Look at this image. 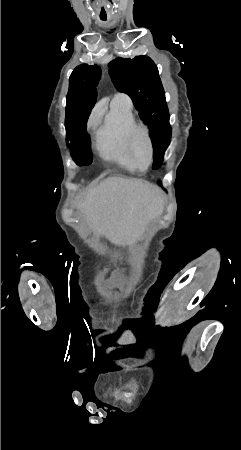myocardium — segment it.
Masks as SVG:
<instances>
[{"instance_id": "myocardium-1", "label": "myocardium", "mask_w": 241, "mask_h": 450, "mask_svg": "<svg viewBox=\"0 0 241 450\" xmlns=\"http://www.w3.org/2000/svg\"><path fill=\"white\" fill-rule=\"evenodd\" d=\"M138 121L142 120L141 116L137 117ZM147 126L146 122H136L134 125H132L131 127H129L128 129V133H130L131 135L127 136L124 140L128 143L126 145L127 149H130V152L133 153L131 161L132 162H142L143 158L139 157L140 156V151L138 150L136 144H142L144 143V141H146V144H144V147L146 149L147 152H144L142 155L144 157H148V161L149 162H155V153H154V148H151V142H150V138L149 137H153L154 133L153 132H149V130H146L144 127ZM145 137V138H144Z\"/></svg>"}]
</instances>
